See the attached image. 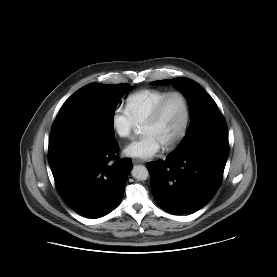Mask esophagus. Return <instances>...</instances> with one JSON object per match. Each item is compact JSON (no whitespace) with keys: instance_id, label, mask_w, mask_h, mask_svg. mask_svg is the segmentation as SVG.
<instances>
[{"instance_id":"34e87169","label":"esophagus","mask_w":277,"mask_h":277,"mask_svg":"<svg viewBox=\"0 0 277 277\" xmlns=\"http://www.w3.org/2000/svg\"><path fill=\"white\" fill-rule=\"evenodd\" d=\"M133 163H134V164H139V163H144V161H143V160H140V159H134V160H133Z\"/></svg>"}]
</instances>
